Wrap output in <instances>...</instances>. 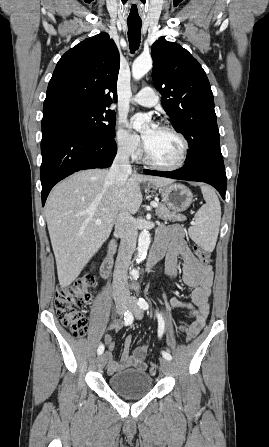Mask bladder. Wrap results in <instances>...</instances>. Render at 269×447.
Returning a JSON list of instances; mask_svg holds the SVG:
<instances>
[{
  "mask_svg": "<svg viewBox=\"0 0 269 447\" xmlns=\"http://www.w3.org/2000/svg\"><path fill=\"white\" fill-rule=\"evenodd\" d=\"M111 390L128 398H142L153 387V376L136 369L122 370L109 377Z\"/></svg>",
  "mask_w": 269,
  "mask_h": 447,
  "instance_id": "1",
  "label": "bladder"
}]
</instances>
